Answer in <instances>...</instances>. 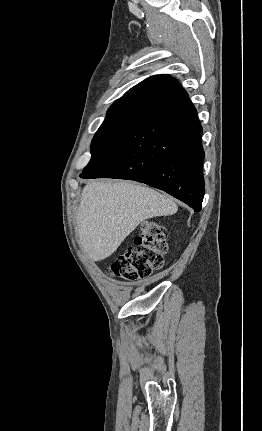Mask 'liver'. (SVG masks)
Masks as SVG:
<instances>
[{"label":"liver","mask_w":262,"mask_h":431,"mask_svg":"<svg viewBox=\"0 0 262 431\" xmlns=\"http://www.w3.org/2000/svg\"><path fill=\"white\" fill-rule=\"evenodd\" d=\"M165 194L127 181H92L77 212L79 242L92 261L112 255L144 220L177 212Z\"/></svg>","instance_id":"liver-1"}]
</instances>
